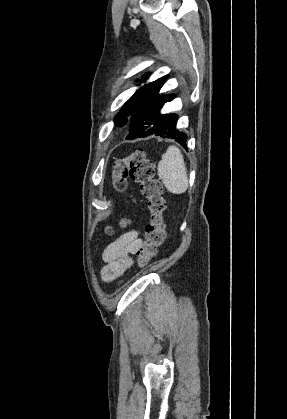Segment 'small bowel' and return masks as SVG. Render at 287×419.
<instances>
[{"label": "small bowel", "mask_w": 287, "mask_h": 419, "mask_svg": "<svg viewBox=\"0 0 287 419\" xmlns=\"http://www.w3.org/2000/svg\"><path fill=\"white\" fill-rule=\"evenodd\" d=\"M141 244L142 239L137 231L124 233L111 242L102 254L105 261L101 271L102 280L110 282L125 274L132 266V254Z\"/></svg>", "instance_id": "c3829d8e"}]
</instances>
